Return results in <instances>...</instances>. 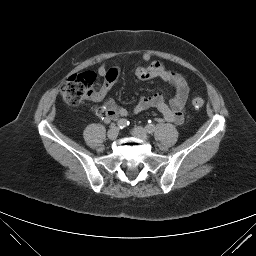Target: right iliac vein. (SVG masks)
Masks as SVG:
<instances>
[{"label":"right iliac vein","instance_id":"1","mask_svg":"<svg viewBox=\"0 0 256 256\" xmlns=\"http://www.w3.org/2000/svg\"><path fill=\"white\" fill-rule=\"evenodd\" d=\"M119 134V129L115 126L111 127L107 133L108 139L113 141L117 138Z\"/></svg>","mask_w":256,"mask_h":256}]
</instances>
